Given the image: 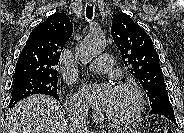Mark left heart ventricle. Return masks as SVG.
<instances>
[{
	"label": "left heart ventricle",
	"mask_w": 184,
	"mask_h": 133,
	"mask_svg": "<svg viewBox=\"0 0 184 133\" xmlns=\"http://www.w3.org/2000/svg\"><path fill=\"white\" fill-rule=\"evenodd\" d=\"M135 107L133 94L128 90L115 89L114 95L104 110L106 116L113 118H122L130 114Z\"/></svg>",
	"instance_id": "1"
}]
</instances>
